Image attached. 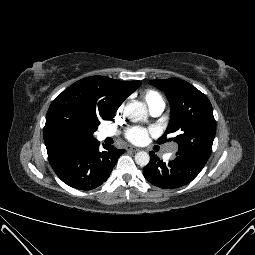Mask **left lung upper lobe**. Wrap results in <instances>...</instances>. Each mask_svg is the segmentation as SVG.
<instances>
[{"label": "left lung upper lobe", "instance_id": "1", "mask_svg": "<svg viewBox=\"0 0 255 255\" xmlns=\"http://www.w3.org/2000/svg\"><path fill=\"white\" fill-rule=\"evenodd\" d=\"M165 92L171 107V120L158 143L169 138L178 144L177 156L206 163L216 132V123L210 101L202 92L188 82L178 79H160L150 82Z\"/></svg>", "mask_w": 255, "mask_h": 255}]
</instances>
